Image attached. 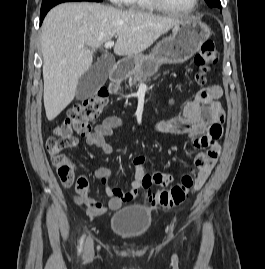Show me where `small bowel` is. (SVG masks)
<instances>
[{
	"instance_id": "1",
	"label": "small bowel",
	"mask_w": 265,
	"mask_h": 269,
	"mask_svg": "<svg viewBox=\"0 0 265 269\" xmlns=\"http://www.w3.org/2000/svg\"><path fill=\"white\" fill-rule=\"evenodd\" d=\"M222 96V88L212 85L200 90L193 100L182 108L179 116L162 120L155 124L156 131L164 134H188L192 138L193 146L199 150L195 163L197 166L196 189L200 188L210 175L220 153L218 139L209 134L210 127L224 120V111L218 101ZM172 100L169 101V104ZM124 120L117 116L106 117L97 125L93 133L87 136L86 142L106 155L113 153V147L106 138L113 135V130L122 127ZM73 146H77L75 140ZM146 158L142 155L133 158L135 178L127 189H122L110 184L111 170L108 167L94 169L95 177L104 187L109 201L106 204L95 201L88 195L89 183L85 176L78 177L76 181L75 202L84 206L91 216H101L109 211L118 210L122 203L131 202L138 197L141 188H148L153 183L165 186L172 181V175L159 171L149 174L145 167Z\"/></svg>"
}]
</instances>
